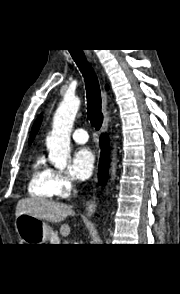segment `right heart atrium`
I'll list each match as a JSON object with an SVG mask.
<instances>
[{"mask_svg": "<svg viewBox=\"0 0 180 294\" xmlns=\"http://www.w3.org/2000/svg\"><path fill=\"white\" fill-rule=\"evenodd\" d=\"M54 184L56 195L65 197L74 187V179L67 172L54 171Z\"/></svg>", "mask_w": 180, "mask_h": 294, "instance_id": "1", "label": "right heart atrium"}]
</instances>
